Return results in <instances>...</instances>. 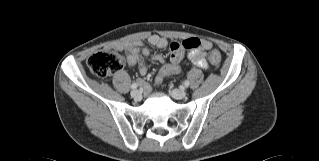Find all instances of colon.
I'll use <instances>...</instances> for the list:
<instances>
[{"label": "colon", "instance_id": "colon-1", "mask_svg": "<svg viewBox=\"0 0 319 161\" xmlns=\"http://www.w3.org/2000/svg\"><path fill=\"white\" fill-rule=\"evenodd\" d=\"M201 43L196 38H189L183 41L172 42L170 45L171 62L178 64L182 58L183 51L196 50ZM220 53L216 48L210 52V60L213 64L220 62ZM90 72L97 77H107L118 71L124 66V58L114 50H104L91 55L87 61Z\"/></svg>", "mask_w": 319, "mask_h": 161}]
</instances>
